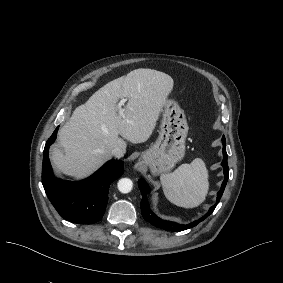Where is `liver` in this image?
<instances>
[{"mask_svg":"<svg viewBox=\"0 0 283 283\" xmlns=\"http://www.w3.org/2000/svg\"><path fill=\"white\" fill-rule=\"evenodd\" d=\"M172 84L166 73L139 68L102 86L59 129L63 149L53 146L50 154L57 172L75 181L86 179L112 159L114 148L126 153L127 142L118 133L132 143L146 140ZM119 96L127 98L129 122L116 113Z\"/></svg>","mask_w":283,"mask_h":283,"instance_id":"obj_1","label":"liver"}]
</instances>
